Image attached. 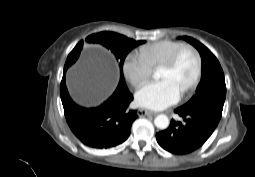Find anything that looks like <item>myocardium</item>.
Masks as SVG:
<instances>
[{
	"label": "myocardium",
	"instance_id": "myocardium-1",
	"mask_svg": "<svg viewBox=\"0 0 255 177\" xmlns=\"http://www.w3.org/2000/svg\"><path fill=\"white\" fill-rule=\"evenodd\" d=\"M186 51H190L192 52L195 57H196V61H197V66H196V73L195 76L192 80V82L190 83V85L185 88L182 91V95H186L190 92H192L198 85V83L200 82L201 76H202V70H203V60H202V56L200 54V52L192 45H184L181 48H179L172 56L169 60H167L166 62H164L161 67L163 68H167V69H173L177 66L181 56L186 52Z\"/></svg>",
	"mask_w": 255,
	"mask_h": 177
}]
</instances>
